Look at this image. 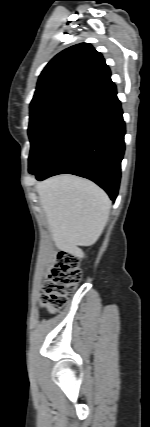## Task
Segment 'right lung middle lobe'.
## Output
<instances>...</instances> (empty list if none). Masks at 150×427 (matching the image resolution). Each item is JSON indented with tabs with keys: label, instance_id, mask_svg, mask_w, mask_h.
Masks as SVG:
<instances>
[{
	"label": "right lung middle lobe",
	"instance_id": "right-lung-middle-lobe-1",
	"mask_svg": "<svg viewBox=\"0 0 150 427\" xmlns=\"http://www.w3.org/2000/svg\"><path fill=\"white\" fill-rule=\"evenodd\" d=\"M79 110L74 106L54 105L30 113L29 173L35 172L61 131Z\"/></svg>",
	"mask_w": 150,
	"mask_h": 427
}]
</instances>
